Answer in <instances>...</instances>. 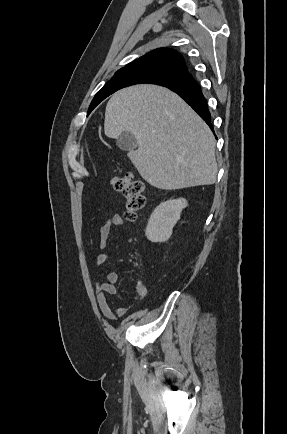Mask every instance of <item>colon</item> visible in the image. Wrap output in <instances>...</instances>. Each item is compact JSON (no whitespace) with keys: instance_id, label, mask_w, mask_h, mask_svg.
<instances>
[{"instance_id":"colon-1","label":"colon","mask_w":287,"mask_h":434,"mask_svg":"<svg viewBox=\"0 0 287 434\" xmlns=\"http://www.w3.org/2000/svg\"><path fill=\"white\" fill-rule=\"evenodd\" d=\"M112 187L125 199V216L128 220H136L145 205L144 184L136 180L132 173L118 174L111 179Z\"/></svg>"}]
</instances>
